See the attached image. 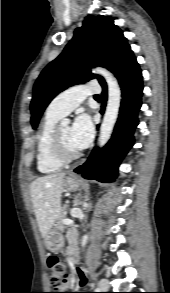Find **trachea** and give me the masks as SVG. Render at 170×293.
Returning <instances> with one entry per match:
<instances>
[{"label": "trachea", "mask_w": 170, "mask_h": 293, "mask_svg": "<svg viewBox=\"0 0 170 293\" xmlns=\"http://www.w3.org/2000/svg\"><path fill=\"white\" fill-rule=\"evenodd\" d=\"M95 97H100L99 95H95Z\"/></svg>", "instance_id": "3493384b"}]
</instances>
